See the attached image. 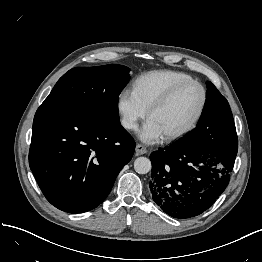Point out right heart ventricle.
I'll list each match as a JSON object with an SVG mask.
<instances>
[{
	"mask_svg": "<svg viewBox=\"0 0 262 262\" xmlns=\"http://www.w3.org/2000/svg\"><path fill=\"white\" fill-rule=\"evenodd\" d=\"M192 79L186 73L172 70H158L139 77L133 84V94L148 111L167 91L176 84Z\"/></svg>",
	"mask_w": 262,
	"mask_h": 262,
	"instance_id": "e07e8e85",
	"label": "right heart ventricle"
}]
</instances>
